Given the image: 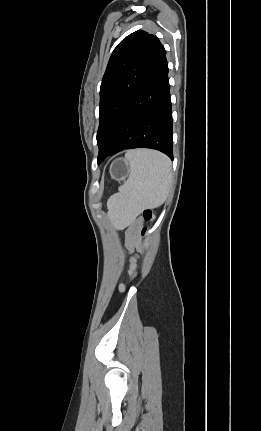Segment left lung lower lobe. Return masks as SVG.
<instances>
[{"label":"left lung lower lobe","instance_id":"left-lung-lower-lobe-1","mask_svg":"<svg viewBox=\"0 0 261 431\" xmlns=\"http://www.w3.org/2000/svg\"><path fill=\"white\" fill-rule=\"evenodd\" d=\"M132 148L156 149L173 160L170 85L165 56L133 98L108 156Z\"/></svg>","mask_w":261,"mask_h":431}]
</instances>
